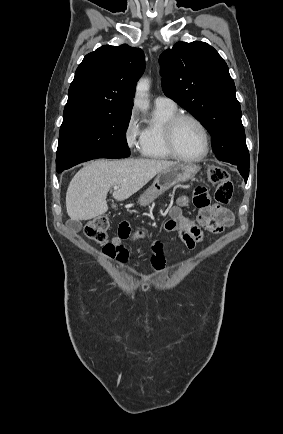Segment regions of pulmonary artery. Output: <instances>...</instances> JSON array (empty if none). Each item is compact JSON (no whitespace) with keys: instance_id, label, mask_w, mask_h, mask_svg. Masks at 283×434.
Wrapping results in <instances>:
<instances>
[{"instance_id":"obj_1","label":"pulmonary artery","mask_w":283,"mask_h":434,"mask_svg":"<svg viewBox=\"0 0 283 434\" xmlns=\"http://www.w3.org/2000/svg\"><path fill=\"white\" fill-rule=\"evenodd\" d=\"M154 104L157 108H176V103L166 96H157L154 100Z\"/></svg>"}]
</instances>
